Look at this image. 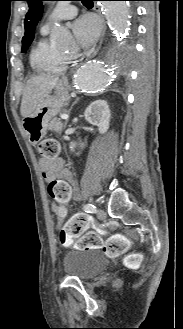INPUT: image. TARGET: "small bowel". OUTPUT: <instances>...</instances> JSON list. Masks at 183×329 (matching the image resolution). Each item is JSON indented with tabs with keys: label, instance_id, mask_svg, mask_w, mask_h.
I'll use <instances>...</instances> for the list:
<instances>
[{
	"label": "small bowel",
	"instance_id": "1",
	"mask_svg": "<svg viewBox=\"0 0 183 329\" xmlns=\"http://www.w3.org/2000/svg\"><path fill=\"white\" fill-rule=\"evenodd\" d=\"M40 168L44 178L47 194H50L53 210L57 218H72L79 198L78 185L74 173L63 165L61 160H40ZM58 209L60 211H58ZM64 246H71L73 240H61Z\"/></svg>",
	"mask_w": 183,
	"mask_h": 329
}]
</instances>
